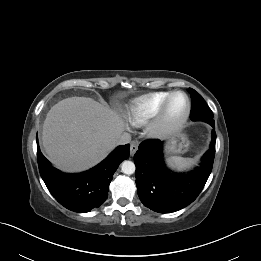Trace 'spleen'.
<instances>
[{
  "label": "spleen",
  "mask_w": 261,
  "mask_h": 261,
  "mask_svg": "<svg viewBox=\"0 0 261 261\" xmlns=\"http://www.w3.org/2000/svg\"><path fill=\"white\" fill-rule=\"evenodd\" d=\"M167 163L170 167L181 170L189 167L193 163V159L173 156L167 159Z\"/></svg>",
  "instance_id": "3e777b00"
}]
</instances>
